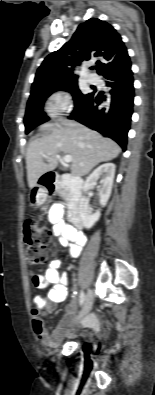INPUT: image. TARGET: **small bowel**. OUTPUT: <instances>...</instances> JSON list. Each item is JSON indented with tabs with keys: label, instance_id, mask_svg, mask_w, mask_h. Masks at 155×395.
<instances>
[{
	"label": "small bowel",
	"instance_id": "obj_1",
	"mask_svg": "<svg viewBox=\"0 0 155 395\" xmlns=\"http://www.w3.org/2000/svg\"><path fill=\"white\" fill-rule=\"evenodd\" d=\"M64 207L62 204H54L48 212V220L53 225V230L60 244L68 249L72 257H79L86 243V237L79 231L67 225L64 220ZM61 262L54 260L46 269L45 274L40 279V272H33V279L30 280V289L33 292H46L50 288L47 296L40 295L34 298V308L32 309V328L35 336L48 347H57L66 338L74 337L78 327L68 329L73 318L74 305L66 307L65 314L57 328L49 333L42 313H50L55 309V305L63 302L67 297L68 275L59 273ZM83 326L93 330L98 328L97 318L93 315L86 317L82 323ZM84 332V336H88Z\"/></svg>",
	"mask_w": 155,
	"mask_h": 395
}]
</instances>
